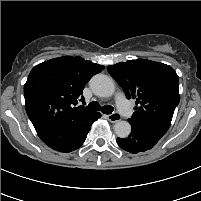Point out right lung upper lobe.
Returning a JSON list of instances; mask_svg holds the SVG:
<instances>
[{
    "label": "right lung upper lobe",
    "instance_id": "obj_1",
    "mask_svg": "<svg viewBox=\"0 0 201 201\" xmlns=\"http://www.w3.org/2000/svg\"><path fill=\"white\" fill-rule=\"evenodd\" d=\"M104 66L64 56L36 65L24 85L25 107L36 131L70 130L86 123L95 112L76 107L85 84Z\"/></svg>",
    "mask_w": 201,
    "mask_h": 201
}]
</instances>
